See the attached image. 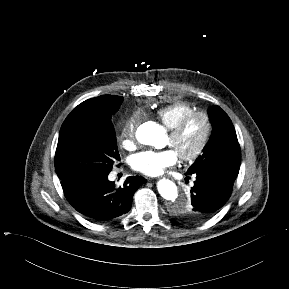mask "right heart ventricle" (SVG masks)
<instances>
[{
	"mask_svg": "<svg viewBox=\"0 0 289 289\" xmlns=\"http://www.w3.org/2000/svg\"><path fill=\"white\" fill-rule=\"evenodd\" d=\"M193 111L195 110L190 104L175 102L159 108L156 116L168 129H171L184 115Z\"/></svg>",
	"mask_w": 289,
	"mask_h": 289,
	"instance_id": "1",
	"label": "right heart ventricle"
}]
</instances>
